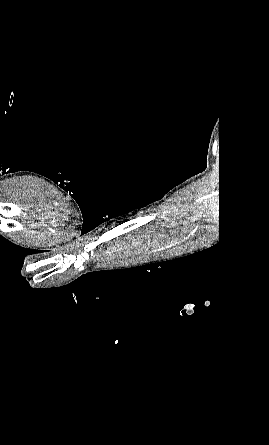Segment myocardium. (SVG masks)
Returning a JSON list of instances; mask_svg holds the SVG:
<instances>
[{
	"label": "myocardium",
	"instance_id": "f54148a6",
	"mask_svg": "<svg viewBox=\"0 0 269 445\" xmlns=\"http://www.w3.org/2000/svg\"><path fill=\"white\" fill-rule=\"evenodd\" d=\"M60 239H46V240H40V241H36L35 243L38 245H44V244H48V243H57L59 242Z\"/></svg>",
	"mask_w": 269,
	"mask_h": 445
}]
</instances>
